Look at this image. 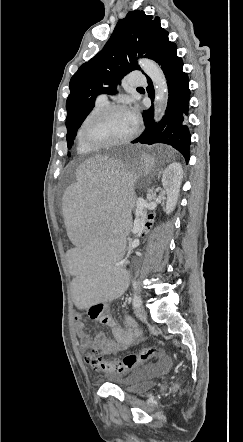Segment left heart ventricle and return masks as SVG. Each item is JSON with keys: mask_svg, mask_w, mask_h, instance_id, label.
<instances>
[{"mask_svg": "<svg viewBox=\"0 0 243 442\" xmlns=\"http://www.w3.org/2000/svg\"><path fill=\"white\" fill-rule=\"evenodd\" d=\"M134 127L129 112L120 110L92 122L86 136L91 142L106 143L125 138Z\"/></svg>", "mask_w": 243, "mask_h": 442, "instance_id": "b2bd125f", "label": "left heart ventricle"}]
</instances>
